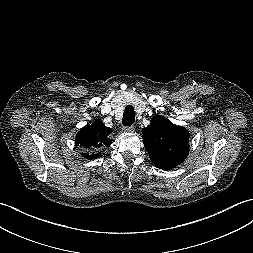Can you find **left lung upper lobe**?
<instances>
[{"instance_id": "1", "label": "left lung upper lobe", "mask_w": 253, "mask_h": 253, "mask_svg": "<svg viewBox=\"0 0 253 253\" xmlns=\"http://www.w3.org/2000/svg\"><path fill=\"white\" fill-rule=\"evenodd\" d=\"M142 133L144 146L157 167L169 170L187 158L190 134L184 127L158 115Z\"/></svg>"}]
</instances>
